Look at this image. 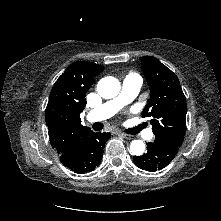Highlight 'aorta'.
Instances as JSON below:
<instances>
[{
  "mask_svg": "<svg viewBox=\"0 0 221 221\" xmlns=\"http://www.w3.org/2000/svg\"><path fill=\"white\" fill-rule=\"evenodd\" d=\"M121 86L118 79L115 77H104L97 85L98 94L105 99L116 97L120 92ZM145 144L141 140H134L131 142L130 151L133 155L140 156L144 153Z\"/></svg>",
  "mask_w": 221,
  "mask_h": 221,
  "instance_id": "1",
  "label": "aorta"
}]
</instances>
